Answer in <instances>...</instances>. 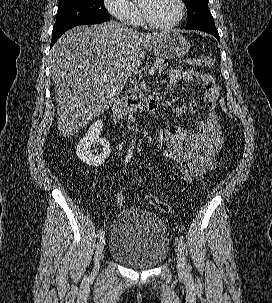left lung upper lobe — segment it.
I'll use <instances>...</instances> for the list:
<instances>
[{"mask_svg":"<svg viewBox=\"0 0 272 303\" xmlns=\"http://www.w3.org/2000/svg\"><path fill=\"white\" fill-rule=\"evenodd\" d=\"M187 7L186 29L212 27L215 23L208 8V0H183Z\"/></svg>","mask_w":272,"mask_h":303,"instance_id":"1","label":"left lung upper lobe"}]
</instances>
